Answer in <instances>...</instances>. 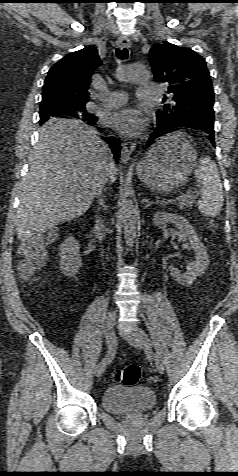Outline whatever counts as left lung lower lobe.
<instances>
[{"label":"left lung lower lobe","instance_id":"obj_1","mask_svg":"<svg viewBox=\"0 0 238 476\" xmlns=\"http://www.w3.org/2000/svg\"><path fill=\"white\" fill-rule=\"evenodd\" d=\"M213 123L212 119L201 116H190L179 120H167L163 122L158 121L157 127L154 129V132L150 135V138L147 141L146 147H151L156 139L162 135L163 131L175 127H187L202 130L208 134L207 139L210 140L212 145H215Z\"/></svg>","mask_w":238,"mask_h":476}]
</instances>
